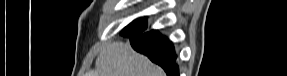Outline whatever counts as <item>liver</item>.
Returning a JSON list of instances; mask_svg holds the SVG:
<instances>
[{"instance_id": "1", "label": "liver", "mask_w": 287, "mask_h": 76, "mask_svg": "<svg viewBox=\"0 0 287 76\" xmlns=\"http://www.w3.org/2000/svg\"><path fill=\"white\" fill-rule=\"evenodd\" d=\"M95 68L97 76H165L159 66L121 41H115L101 51Z\"/></svg>"}]
</instances>
